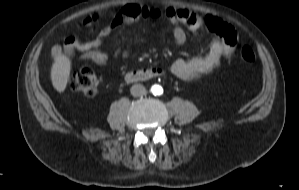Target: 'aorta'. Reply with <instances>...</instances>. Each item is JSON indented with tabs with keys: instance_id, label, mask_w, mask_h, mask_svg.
I'll list each match as a JSON object with an SVG mask.
<instances>
[{
	"instance_id": "762f6f07",
	"label": "aorta",
	"mask_w": 299,
	"mask_h": 190,
	"mask_svg": "<svg viewBox=\"0 0 299 190\" xmlns=\"http://www.w3.org/2000/svg\"><path fill=\"white\" fill-rule=\"evenodd\" d=\"M161 91H162V88L159 85H154L152 87L153 94H159V93H161Z\"/></svg>"
}]
</instances>
